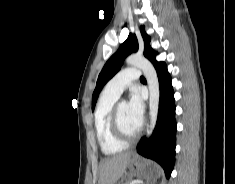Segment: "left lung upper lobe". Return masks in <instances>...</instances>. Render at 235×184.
Here are the masks:
<instances>
[{
  "label": "left lung upper lobe",
  "mask_w": 235,
  "mask_h": 184,
  "mask_svg": "<svg viewBox=\"0 0 235 184\" xmlns=\"http://www.w3.org/2000/svg\"><path fill=\"white\" fill-rule=\"evenodd\" d=\"M141 35L144 41V56L151 59L155 51L150 47V37L146 34L144 27H141ZM138 50V41L135 35L130 34L127 40L121 44L119 49L108 59L99 74L96 88L92 96V109H94L97 98L103 86L120 70L126 56Z\"/></svg>",
  "instance_id": "5c2ea615"
}]
</instances>
